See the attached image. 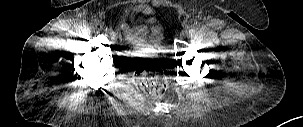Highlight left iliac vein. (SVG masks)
<instances>
[{
	"label": "left iliac vein",
	"mask_w": 303,
	"mask_h": 127,
	"mask_svg": "<svg viewBox=\"0 0 303 127\" xmlns=\"http://www.w3.org/2000/svg\"><path fill=\"white\" fill-rule=\"evenodd\" d=\"M186 34H187V33H186L185 31H182V32H181V37H185Z\"/></svg>",
	"instance_id": "obj_1"
}]
</instances>
